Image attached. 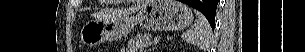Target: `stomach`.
Returning a JSON list of instances; mask_svg holds the SVG:
<instances>
[{
	"label": "stomach",
	"mask_w": 305,
	"mask_h": 52,
	"mask_svg": "<svg viewBox=\"0 0 305 52\" xmlns=\"http://www.w3.org/2000/svg\"><path fill=\"white\" fill-rule=\"evenodd\" d=\"M192 10L176 0H151L134 13L121 18L87 22L80 31V39L87 47L126 36L139 25L153 31H179L191 25Z\"/></svg>",
	"instance_id": "obj_1"
}]
</instances>
